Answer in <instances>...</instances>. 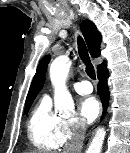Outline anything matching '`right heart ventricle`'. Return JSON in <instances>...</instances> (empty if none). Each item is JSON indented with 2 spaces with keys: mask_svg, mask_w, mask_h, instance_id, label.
<instances>
[{
  "mask_svg": "<svg viewBox=\"0 0 130 153\" xmlns=\"http://www.w3.org/2000/svg\"><path fill=\"white\" fill-rule=\"evenodd\" d=\"M62 119L52 111L51 98L42 96L33 108L27 122L31 144L43 152L57 151L61 145L59 133Z\"/></svg>",
  "mask_w": 130,
  "mask_h": 153,
  "instance_id": "obj_1",
  "label": "right heart ventricle"
}]
</instances>
